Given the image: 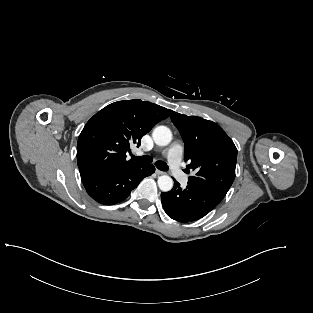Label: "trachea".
Here are the masks:
<instances>
[{"instance_id":"1","label":"trachea","mask_w":313,"mask_h":313,"mask_svg":"<svg viewBox=\"0 0 313 313\" xmlns=\"http://www.w3.org/2000/svg\"><path fill=\"white\" fill-rule=\"evenodd\" d=\"M132 159L135 160L136 162L142 163V164H149L152 162V157L148 156V155H144V156H132ZM156 167L161 170V171H167L168 170V166L165 162L163 161H157L155 163Z\"/></svg>"}]
</instances>
